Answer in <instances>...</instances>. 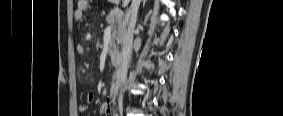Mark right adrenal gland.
<instances>
[{
    "instance_id": "1",
    "label": "right adrenal gland",
    "mask_w": 283,
    "mask_h": 116,
    "mask_svg": "<svg viewBox=\"0 0 283 116\" xmlns=\"http://www.w3.org/2000/svg\"><path fill=\"white\" fill-rule=\"evenodd\" d=\"M145 2H146V0H143V7H144V5H145Z\"/></svg>"
}]
</instances>
